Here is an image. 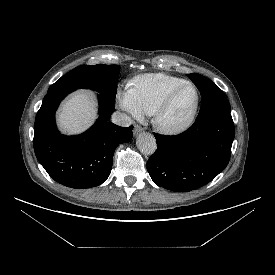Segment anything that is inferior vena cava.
I'll return each mask as SVG.
<instances>
[{
  "mask_svg": "<svg viewBox=\"0 0 275 275\" xmlns=\"http://www.w3.org/2000/svg\"><path fill=\"white\" fill-rule=\"evenodd\" d=\"M112 122L119 126L128 127L132 124V119L125 113L115 112L112 115Z\"/></svg>",
  "mask_w": 275,
  "mask_h": 275,
  "instance_id": "obj_1",
  "label": "inferior vena cava"
}]
</instances>
